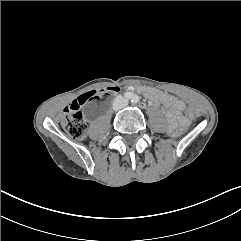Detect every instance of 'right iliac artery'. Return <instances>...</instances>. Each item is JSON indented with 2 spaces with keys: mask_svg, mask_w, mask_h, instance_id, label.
Returning <instances> with one entry per match:
<instances>
[{
  "mask_svg": "<svg viewBox=\"0 0 241 241\" xmlns=\"http://www.w3.org/2000/svg\"><path fill=\"white\" fill-rule=\"evenodd\" d=\"M124 97H125L127 100H130V99H132L133 95H132L130 92H126V93L124 94Z\"/></svg>",
  "mask_w": 241,
  "mask_h": 241,
  "instance_id": "82829eb1",
  "label": "right iliac artery"
}]
</instances>
